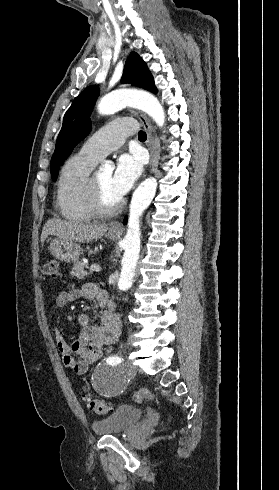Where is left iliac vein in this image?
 I'll return each instance as SVG.
<instances>
[{
  "label": "left iliac vein",
  "instance_id": "obj_1",
  "mask_svg": "<svg viewBox=\"0 0 279 490\" xmlns=\"http://www.w3.org/2000/svg\"><path fill=\"white\" fill-rule=\"evenodd\" d=\"M134 359L130 358L127 360V362L124 364L129 372L130 375H134L136 373V368L133 365L134 364Z\"/></svg>",
  "mask_w": 279,
  "mask_h": 490
}]
</instances>
